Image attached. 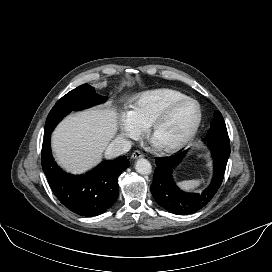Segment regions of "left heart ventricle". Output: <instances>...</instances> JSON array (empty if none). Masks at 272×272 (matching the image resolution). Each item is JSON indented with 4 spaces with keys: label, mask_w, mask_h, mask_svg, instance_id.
Masks as SVG:
<instances>
[{
    "label": "left heart ventricle",
    "mask_w": 272,
    "mask_h": 272,
    "mask_svg": "<svg viewBox=\"0 0 272 272\" xmlns=\"http://www.w3.org/2000/svg\"><path fill=\"white\" fill-rule=\"evenodd\" d=\"M197 113V106L192 102L179 105L158 130L156 141L174 144L184 139L194 125Z\"/></svg>",
    "instance_id": "1"
}]
</instances>
